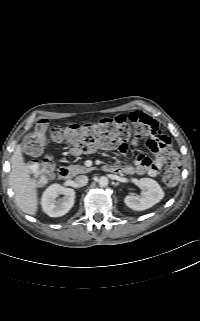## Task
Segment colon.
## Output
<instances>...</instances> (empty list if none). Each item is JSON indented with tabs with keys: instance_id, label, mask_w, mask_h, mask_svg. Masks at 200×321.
Instances as JSON below:
<instances>
[{
	"instance_id": "1",
	"label": "colon",
	"mask_w": 200,
	"mask_h": 321,
	"mask_svg": "<svg viewBox=\"0 0 200 321\" xmlns=\"http://www.w3.org/2000/svg\"><path fill=\"white\" fill-rule=\"evenodd\" d=\"M53 141L66 142L79 151H90L96 148L118 149L125 151L128 143H134L143 136L150 135L146 123L135 122L122 115L106 118L97 122L71 124L65 127L49 128L46 120L40 121L34 131L24 139V148L31 155H38L45 144L46 134ZM166 169L163 181L166 186L174 187L180 178V161L176 153L169 151L165 155ZM34 180L43 183L54 172V162L51 156H45L41 162L31 167Z\"/></svg>"
}]
</instances>
